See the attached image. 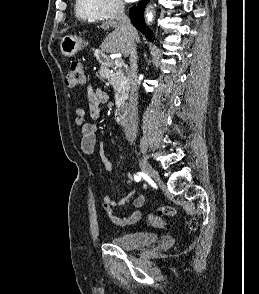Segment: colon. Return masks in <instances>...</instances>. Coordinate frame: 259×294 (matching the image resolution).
<instances>
[{"label":"colon","mask_w":259,"mask_h":294,"mask_svg":"<svg viewBox=\"0 0 259 294\" xmlns=\"http://www.w3.org/2000/svg\"><path fill=\"white\" fill-rule=\"evenodd\" d=\"M65 83L70 88L83 87L87 83V74L84 68V64L81 61H73L70 63L69 70L65 76ZM176 210L171 206H161L155 211L148 214L146 222L154 228H163L167 225L164 216H174ZM196 223H191V228L194 229Z\"/></svg>","instance_id":"obj_1"}]
</instances>
